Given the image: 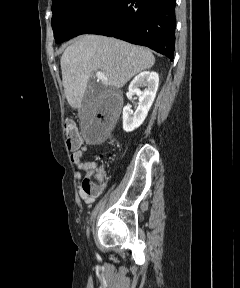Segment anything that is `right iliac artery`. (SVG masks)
Listing matches in <instances>:
<instances>
[{
    "label": "right iliac artery",
    "instance_id": "obj_1",
    "mask_svg": "<svg viewBox=\"0 0 240 288\" xmlns=\"http://www.w3.org/2000/svg\"><path fill=\"white\" fill-rule=\"evenodd\" d=\"M87 234H89V230H87Z\"/></svg>",
    "mask_w": 240,
    "mask_h": 288
}]
</instances>
